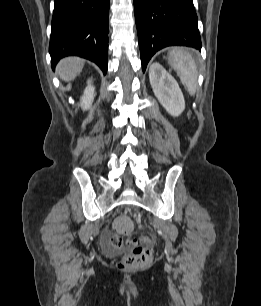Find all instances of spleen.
<instances>
[{
  "instance_id": "obj_1",
  "label": "spleen",
  "mask_w": 261,
  "mask_h": 306,
  "mask_svg": "<svg viewBox=\"0 0 261 306\" xmlns=\"http://www.w3.org/2000/svg\"><path fill=\"white\" fill-rule=\"evenodd\" d=\"M168 60L190 95H195L198 72L192 55L183 49L175 48L169 53Z\"/></svg>"
}]
</instances>
